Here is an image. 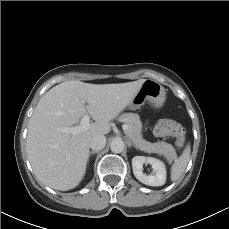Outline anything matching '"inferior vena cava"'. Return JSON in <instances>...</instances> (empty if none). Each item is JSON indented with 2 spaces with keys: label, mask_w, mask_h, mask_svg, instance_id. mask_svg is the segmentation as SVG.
Listing matches in <instances>:
<instances>
[{
  "label": "inferior vena cava",
  "mask_w": 229,
  "mask_h": 229,
  "mask_svg": "<svg viewBox=\"0 0 229 229\" xmlns=\"http://www.w3.org/2000/svg\"><path fill=\"white\" fill-rule=\"evenodd\" d=\"M106 145V137L104 135H95L91 138L89 146L94 151L102 150Z\"/></svg>",
  "instance_id": "1"
}]
</instances>
